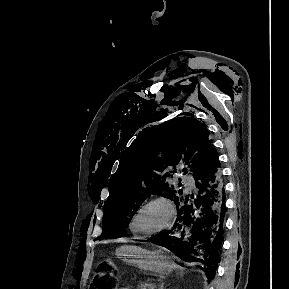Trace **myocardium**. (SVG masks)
<instances>
[{"label":"myocardium","instance_id":"f54148a6","mask_svg":"<svg viewBox=\"0 0 289 289\" xmlns=\"http://www.w3.org/2000/svg\"><path fill=\"white\" fill-rule=\"evenodd\" d=\"M155 203H159V204H162L164 205L167 210H168V213H169V217H168V221L166 222V224L164 226H162L161 228H158L154 231H151V232H142V231H139L137 228H136V220L138 218V216L141 214V212L148 206L152 205V204H155ZM175 218H176V208L173 204V202L164 197V196H155V197H152L148 200H146L137 210L136 212L134 213L132 219H131V222H130V228L131 230L137 234V235H140V236H145V237H150V236H154V235H157L161 232H164L168 229H170L175 221Z\"/></svg>","mask_w":289,"mask_h":289}]
</instances>
